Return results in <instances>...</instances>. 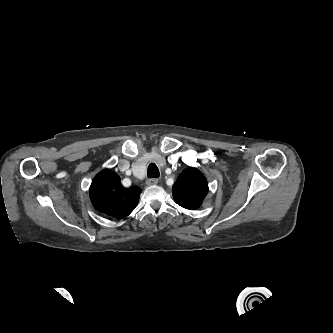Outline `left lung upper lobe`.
<instances>
[{"mask_svg":"<svg viewBox=\"0 0 333 333\" xmlns=\"http://www.w3.org/2000/svg\"><path fill=\"white\" fill-rule=\"evenodd\" d=\"M172 192L177 204L186 209L194 210L201 206L208 192V183L198 169L188 167L178 176Z\"/></svg>","mask_w":333,"mask_h":333,"instance_id":"5c2ea615","label":"left lung upper lobe"}]
</instances>
